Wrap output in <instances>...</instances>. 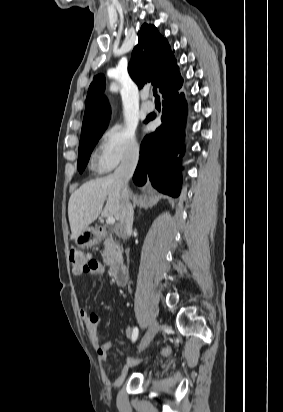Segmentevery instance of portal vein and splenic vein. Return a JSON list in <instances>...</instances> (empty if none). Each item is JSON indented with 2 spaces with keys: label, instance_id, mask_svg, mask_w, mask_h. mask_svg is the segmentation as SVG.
I'll return each instance as SVG.
<instances>
[{
  "label": "portal vein and splenic vein",
  "instance_id": "portal-vein-and-splenic-vein-1",
  "mask_svg": "<svg viewBox=\"0 0 283 412\" xmlns=\"http://www.w3.org/2000/svg\"><path fill=\"white\" fill-rule=\"evenodd\" d=\"M106 223L108 225H113L115 223V218L114 217H107Z\"/></svg>",
  "mask_w": 283,
  "mask_h": 412
}]
</instances>
